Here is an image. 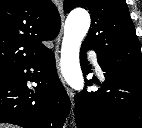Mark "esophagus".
Masks as SVG:
<instances>
[{"mask_svg":"<svg viewBox=\"0 0 142 128\" xmlns=\"http://www.w3.org/2000/svg\"><path fill=\"white\" fill-rule=\"evenodd\" d=\"M58 10H59L60 17H61V30L59 32L57 39H56L55 59H56V65H57V70H58L60 81L63 84V86L65 87L66 92H67V94H68V96L71 100V103L73 104L74 92L66 85L63 77L60 74V68H59V46H60V41H61V38H62V35H63V26H64V19H65L62 2L58 3Z\"/></svg>","mask_w":142,"mask_h":128,"instance_id":"esophagus-1","label":"esophagus"}]
</instances>
